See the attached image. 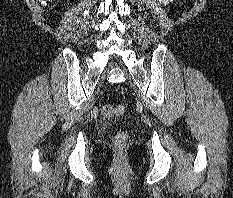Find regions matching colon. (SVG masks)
Masks as SVG:
<instances>
[{
    "label": "colon",
    "instance_id": "colon-1",
    "mask_svg": "<svg viewBox=\"0 0 233 198\" xmlns=\"http://www.w3.org/2000/svg\"><path fill=\"white\" fill-rule=\"evenodd\" d=\"M102 115L105 118H114L120 116L124 112L123 105H110L106 104L101 108ZM128 142V134L126 132L118 133L114 138V146L117 150H124Z\"/></svg>",
    "mask_w": 233,
    "mask_h": 198
}]
</instances>
